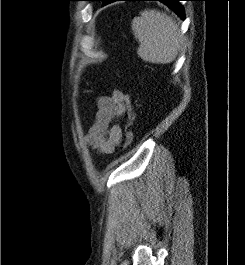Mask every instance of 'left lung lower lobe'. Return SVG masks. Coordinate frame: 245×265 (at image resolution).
I'll use <instances>...</instances> for the list:
<instances>
[{
	"label": "left lung lower lobe",
	"mask_w": 245,
	"mask_h": 265,
	"mask_svg": "<svg viewBox=\"0 0 245 265\" xmlns=\"http://www.w3.org/2000/svg\"><path fill=\"white\" fill-rule=\"evenodd\" d=\"M115 1H160L168 5L171 9H173L182 19H184V13L182 6L179 1H188V0H105L102 6L115 2Z\"/></svg>",
	"instance_id": "0a47b994"
}]
</instances>
